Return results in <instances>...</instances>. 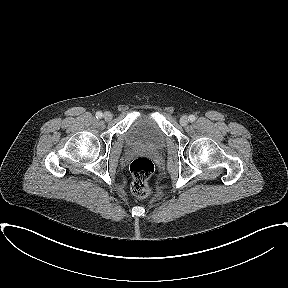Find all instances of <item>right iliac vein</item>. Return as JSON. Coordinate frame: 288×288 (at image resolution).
Segmentation results:
<instances>
[{"label":"right iliac vein","instance_id":"right-iliac-vein-1","mask_svg":"<svg viewBox=\"0 0 288 288\" xmlns=\"http://www.w3.org/2000/svg\"><path fill=\"white\" fill-rule=\"evenodd\" d=\"M103 118L105 121H110L112 119V114L110 112H105Z\"/></svg>","mask_w":288,"mask_h":288}]
</instances>
